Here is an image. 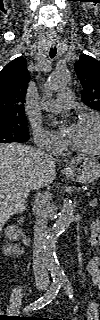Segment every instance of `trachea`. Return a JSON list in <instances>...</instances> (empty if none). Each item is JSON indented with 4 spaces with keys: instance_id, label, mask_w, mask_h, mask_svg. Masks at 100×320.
I'll use <instances>...</instances> for the list:
<instances>
[{
    "instance_id": "3493384b",
    "label": "trachea",
    "mask_w": 100,
    "mask_h": 320,
    "mask_svg": "<svg viewBox=\"0 0 100 320\" xmlns=\"http://www.w3.org/2000/svg\"><path fill=\"white\" fill-rule=\"evenodd\" d=\"M56 53H57L56 47L50 48L49 56H50L51 58H54L55 55H56Z\"/></svg>"
}]
</instances>
